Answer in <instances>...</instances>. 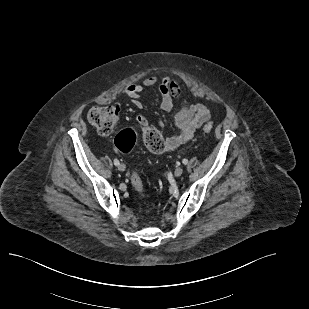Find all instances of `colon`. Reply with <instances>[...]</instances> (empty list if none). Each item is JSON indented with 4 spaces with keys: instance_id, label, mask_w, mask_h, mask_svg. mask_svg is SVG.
<instances>
[{
    "instance_id": "obj_1",
    "label": "colon",
    "mask_w": 309,
    "mask_h": 309,
    "mask_svg": "<svg viewBox=\"0 0 309 309\" xmlns=\"http://www.w3.org/2000/svg\"><path fill=\"white\" fill-rule=\"evenodd\" d=\"M89 123L102 135L114 133L118 127L119 109L114 106H93L87 114ZM212 124H206L203 131H212ZM144 143L146 148L153 153H160L164 148V139L160 132L154 128H146L144 131ZM136 141V134L132 129H123L118 132L115 138V146L122 153H129ZM131 184L138 194H142L143 185L140 175L137 172L131 174Z\"/></svg>"
}]
</instances>
